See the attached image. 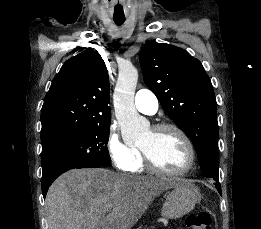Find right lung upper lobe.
Here are the masks:
<instances>
[{
  "label": "right lung upper lobe",
  "instance_id": "obj_1",
  "mask_svg": "<svg viewBox=\"0 0 261 229\" xmlns=\"http://www.w3.org/2000/svg\"><path fill=\"white\" fill-rule=\"evenodd\" d=\"M109 78L97 51L67 60L52 81L41 111L42 149L70 140L89 127L110 123Z\"/></svg>",
  "mask_w": 261,
  "mask_h": 229
}]
</instances>
